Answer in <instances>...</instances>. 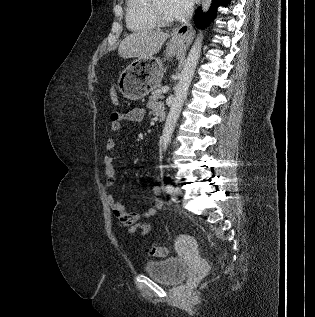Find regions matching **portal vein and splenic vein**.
I'll list each match as a JSON object with an SVG mask.
<instances>
[{
  "mask_svg": "<svg viewBox=\"0 0 315 317\" xmlns=\"http://www.w3.org/2000/svg\"><path fill=\"white\" fill-rule=\"evenodd\" d=\"M168 90H169V87H167V86H165V87H163V88L161 89V91H162L163 93L168 92Z\"/></svg>",
  "mask_w": 315,
  "mask_h": 317,
  "instance_id": "1",
  "label": "portal vein and splenic vein"
}]
</instances>
